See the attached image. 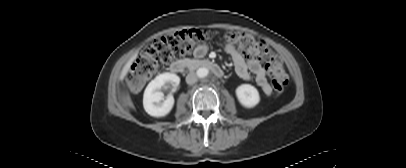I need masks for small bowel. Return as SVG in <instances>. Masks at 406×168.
Returning a JSON list of instances; mask_svg holds the SVG:
<instances>
[{
  "label": "small bowel",
  "mask_w": 406,
  "mask_h": 168,
  "mask_svg": "<svg viewBox=\"0 0 406 168\" xmlns=\"http://www.w3.org/2000/svg\"><path fill=\"white\" fill-rule=\"evenodd\" d=\"M226 52L231 56L236 74L244 79L250 80L252 75L255 76L257 85L261 88L262 92L269 96L272 89L267 81L266 70L262 63L255 58H245L238 50L230 44L225 42L224 44ZM207 52V47L201 45L195 49L194 55L197 58L203 57Z\"/></svg>",
  "instance_id": "c3829d8e"
}]
</instances>
